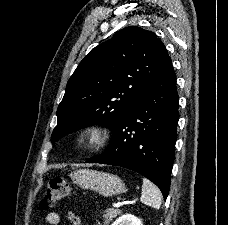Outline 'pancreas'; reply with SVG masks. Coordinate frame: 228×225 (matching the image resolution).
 I'll use <instances>...</instances> for the list:
<instances>
[{
	"label": "pancreas",
	"mask_w": 228,
	"mask_h": 225,
	"mask_svg": "<svg viewBox=\"0 0 228 225\" xmlns=\"http://www.w3.org/2000/svg\"><path fill=\"white\" fill-rule=\"evenodd\" d=\"M120 209H106L104 217V225H109L110 221H113L117 215H120Z\"/></svg>",
	"instance_id": "pancreas-1"
}]
</instances>
